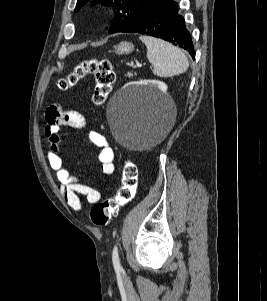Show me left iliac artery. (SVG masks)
Segmentation results:
<instances>
[{
  "label": "left iliac artery",
  "instance_id": "1",
  "mask_svg": "<svg viewBox=\"0 0 267 301\" xmlns=\"http://www.w3.org/2000/svg\"><path fill=\"white\" fill-rule=\"evenodd\" d=\"M112 261H113V265H114L115 268H118V269L121 268L117 246H115L114 249H113Z\"/></svg>",
  "mask_w": 267,
  "mask_h": 301
}]
</instances>
